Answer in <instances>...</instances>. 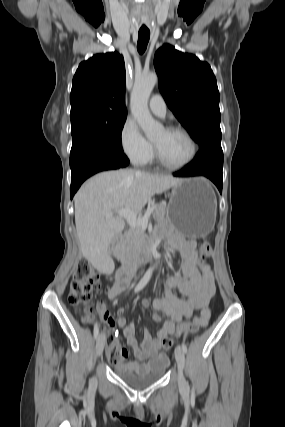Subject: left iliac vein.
<instances>
[{"label":"left iliac vein","mask_w":285,"mask_h":427,"mask_svg":"<svg viewBox=\"0 0 285 427\" xmlns=\"http://www.w3.org/2000/svg\"><path fill=\"white\" fill-rule=\"evenodd\" d=\"M175 358L178 366V381L181 388H187V382L183 376V369L185 365V354L182 347L177 346L175 349Z\"/></svg>","instance_id":"4c4485c4"}]
</instances>
